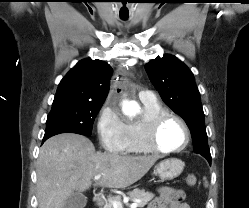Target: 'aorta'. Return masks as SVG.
Segmentation results:
<instances>
[{
    "label": "aorta",
    "mask_w": 249,
    "mask_h": 208,
    "mask_svg": "<svg viewBox=\"0 0 249 208\" xmlns=\"http://www.w3.org/2000/svg\"><path fill=\"white\" fill-rule=\"evenodd\" d=\"M138 109L139 106L135 101H125L123 104V112L127 115L135 114Z\"/></svg>",
    "instance_id": "1"
}]
</instances>
